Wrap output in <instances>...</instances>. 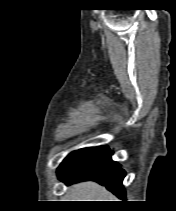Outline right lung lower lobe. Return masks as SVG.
<instances>
[{
	"instance_id": "1",
	"label": "right lung lower lobe",
	"mask_w": 176,
	"mask_h": 211,
	"mask_svg": "<svg viewBox=\"0 0 176 211\" xmlns=\"http://www.w3.org/2000/svg\"><path fill=\"white\" fill-rule=\"evenodd\" d=\"M112 154L107 146L74 151L59 166L58 178L66 184L93 180L124 199L126 193L122 181L126 173L118 163L112 161Z\"/></svg>"
}]
</instances>
